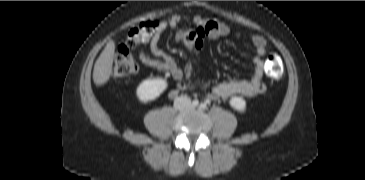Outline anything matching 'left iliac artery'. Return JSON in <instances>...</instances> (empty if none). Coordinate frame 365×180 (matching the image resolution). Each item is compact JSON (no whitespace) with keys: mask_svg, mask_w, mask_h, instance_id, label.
Wrapping results in <instances>:
<instances>
[{"mask_svg":"<svg viewBox=\"0 0 365 180\" xmlns=\"http://www.w3.org/2000/svg\"><path fill=\"white\" fill-rule=\"evenodd\" d=\"M199 108H200L201 110H205V109L207 108V106H206V104H205V103H202V104H200Z\"/></svg>","mask_w":365,"mask_h":180,"instance_id":"1","label":"left iliac artery"}]
</instances>
